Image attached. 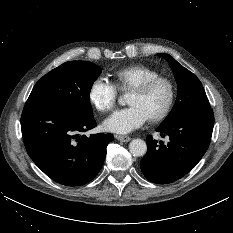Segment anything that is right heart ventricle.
<instances>
[{"mask_svg":"<svg viewBox=\"0 0 233 233\" xmlns=\"http://www.w3.org/2000/svg\"><path fill=\"white\" fill-rule=\"evenodd\" d=\"M161 76V74L148 66L137 64L121 68L112 74L114 85L121 91L132 90L137 85Z\"/></svg>","mask_w":233,"mask_h":233,"instance_id":"1","label":"right heart ventricle"}]
</instances>
